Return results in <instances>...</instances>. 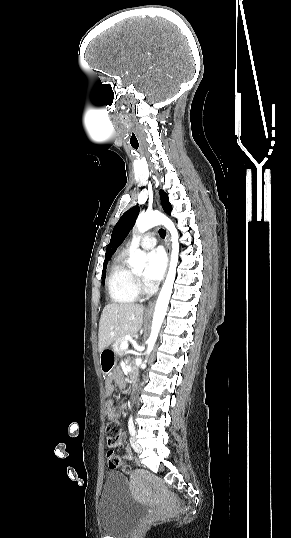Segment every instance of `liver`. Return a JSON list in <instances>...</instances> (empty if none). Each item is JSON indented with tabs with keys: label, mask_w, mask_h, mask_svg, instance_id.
Masks as SVG:
<instances>
[{
	"label": "liver",
	"mask_w": 291,
	"mask_h": 538,
	"mask_svg": "<svg viewBox=\"0 0 291 538\" xmlns=\"http://www.w3.org/2000/svg\"><path fill=\"white\" fill-rule=\"evenodd\" d=\"M143 312L140 304H107L99 322V352L124 335L136 334L143 323Z\"/></svg>",
	"instance_id": "obj_1"
}]
</instances>
